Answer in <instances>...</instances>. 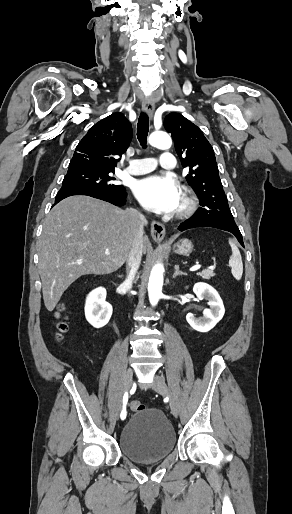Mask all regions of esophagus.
Returning <instances> with one entry per match:
<instances>
[{"mask_svg":"<svg viewBox=\"0 0 292 514\" xmlns=\"http://www.w3.org/2000/svg\"><path fill=\"white\" fill-rule=\"evenodd\" d=\"M142 109L151 118L155 111L154 100L149 97L145 98L142 102ZM150 233H151L152 238L156 242H161L164 239L166 230H165V227L163 224H161L160 222L153 221V222H151Z\"/></svg>","mask_w":292,"mask_h":514,"instance_id":"34e87169","label":"esophagus"}]
</instances>
